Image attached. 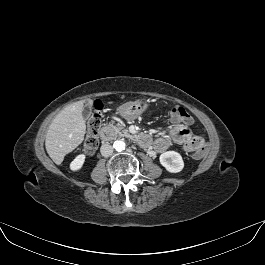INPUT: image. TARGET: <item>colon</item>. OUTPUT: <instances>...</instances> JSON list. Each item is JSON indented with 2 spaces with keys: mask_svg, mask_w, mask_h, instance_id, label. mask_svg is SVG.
<instances>
[{
  "mask_svg": "<svg viewBox=\"0 0 265 265\" xmlns=\"http://www.w3.org/2000/svg\"><path fill=\"white\" fill-rule=\"evenodd\" d=\"M168 114L170 117L177 119L182 124H190L192 122V117L183 107H173L168 111ZM101 122V111L100 108H97L88 120L87 134L83 143V151L88 155L93 154L99 145L98 131L100 129ZM193 156L195 159H200L203 156V152L197 151Z\"/></svg>",
  "mask_w": 265,
  "mask_h": 265,
  "instance_id": "1",
  "label": "colon"
}]
</instances>
